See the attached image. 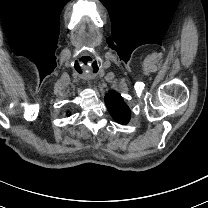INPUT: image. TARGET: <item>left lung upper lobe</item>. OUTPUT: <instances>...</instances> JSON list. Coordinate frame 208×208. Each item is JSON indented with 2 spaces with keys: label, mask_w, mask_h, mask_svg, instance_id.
Here are the masks:
<instances>
[{
  "label": "left lung upper lobe",
  "mask_w": 208,
  "mask_h": 208,
  "mask_svg": "<svg viewBox=\"0 0 208 208\" xmlns=\"http://www.w3.org/2000/svg\"><path fill=\"white\" fill-rule=\"evenodd\" d=\"M105 103L113 119L120 124H127L130 120L131 111L123 98L115 91L106 94Z\"/></svg>",
  "instance_id": "5c2ea615"
}]
</instances>
